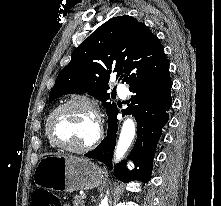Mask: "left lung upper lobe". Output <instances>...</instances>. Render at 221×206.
<instances>
[{"label":"left lung upper lobe","mask_w":221,"mask_h":206,"mask_svg":"<svg viewBox=\"0 0 221 206\" xmlns=\"http://www.w3.org/2000/svg\"><path fill=\"white\" fill-rule=\"evenodd\" d=\"M168 67L162 44L144 23L127 15L115 17L72 52L71 61L58 74L49 99L88 92L102 101L109 130L117 111L115 103L107 102L110 74L115 73L131 89Z\"/></svg>","instance_id":"left-lung-upper-lobe-1"}]
</instances>
